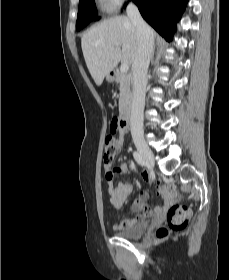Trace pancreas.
<instances>
[{
  "label": "pancreas",
  "mask_w": 229,
  "mask_h": 280,
  "mask_svg": "<svg viewBox=\"0 0 229 280\" xmlns=\"http://www.w3.org/2000/svg\"><path fill=\"white\" fill-rule=\"evenodd\" d=\"M118 83L120 85L119 111L123 112V110L130 103L132 98L130 77L124 73H120L118 77Z\"/></svg>",
  "instance_id": "obj_1"
}]
</instances>
